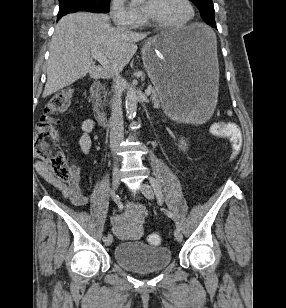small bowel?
<instances>
[{
    "instance_id": "1",
    "label": "small bowel",
    "mask_w": 286,
    "mask_h": 308,
    "mask_svg": "<svg viewBox=\"0 0 286 308\" xmlns=\"http://www.w3.org/2000/svg\"><path fill=\"white\" fill-rule=\"evenodd\" d=\"M230 126L229 140H241V132L237 126L228 122H223ZM95 129V122L93 119L87 118L79 126V146L84 155H88L92 147L91 133ZM78 128L75 125L70 126L69 132L75 133ZM72 176L68 183L63 184L54 180L46 167L39 163L37 167L38 173L46 180L51 181L59 190L65 199H67L74 206H82L86 204L87 198L80 185V166L78 164H71ZM145 209L135 203H128L126 210L123 213L114 215L111 218V228L118 239L121 240H135L138 239L142 232V225L145 218Z\"/></svg>"
}]
</instances>
